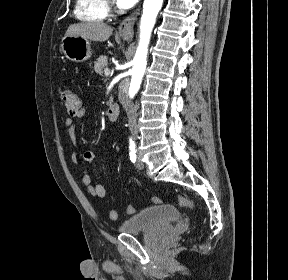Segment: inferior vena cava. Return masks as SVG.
I'll use <instances>...</instances> for the list:
<instances>
[{
    "mask_svg": "<svg viewBox=\"0 0 288 280\" xmlns=\"http://www.w3.org/2000/svg\"><path fill=\"white\" fill-rule=\"evenodd\" d=\"M130 78H121L120 85L118 86L119 99L117 104H122V110H126L128 126H130V137L139 139L141 137V125H139L138 119V105H133L132 102H128V86Z\"/></svg>",
    "mask_w": 288,
    "mask_h": 280,
    "instance_id": "obj_1",
    "label": "inferior vena cava"
}]
</instances>
